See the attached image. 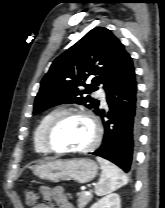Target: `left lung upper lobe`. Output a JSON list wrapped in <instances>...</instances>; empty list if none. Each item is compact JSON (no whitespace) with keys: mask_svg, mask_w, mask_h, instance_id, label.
I'll return each mask as SVG.
<instances>
[{"mask_svg":"<svg viewBox=\"0 0 165 208\" xmlns=\"http://www.w3.org/2000/svg\"><path fill=\"white\" fill-rule=\"evenodd\" d=\"M128 56L110 30H90L54 60L41 81L33 113L62 103L81 104L98 113L99 101L84 95L96 91L100 84L105 89Z\"/></svg>","mask_w":165,"mask_h":208,"instance_id":"5c2ea615","label":"left lung upper lobe"}]
</instances>
